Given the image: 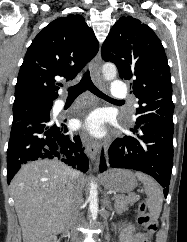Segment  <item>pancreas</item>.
Listing matches in <instances>:
<instances>
[{"instance_id": "cf45deb5", "label": "pancreas", "mask_w": 187, "mask_h": 242, "mask_svg": "<svg viewBox=\"0 0 187 242\" xmlns=\"http://www.w3.org/2000/svg\"><path fill=\"white\" fill-rule=\"evenodd\" d=\"M114 199H115V204H114L115 211L118 214H122L124 211L128 210L129 206H132L135 202L139 200V196L138 195H130V196L120 195V196H116Z\"/></svg>"}]
</instances>
